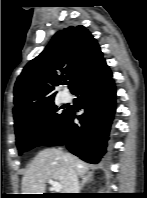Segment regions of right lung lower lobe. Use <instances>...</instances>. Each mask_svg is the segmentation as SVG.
Listing matches in <instances>:
<instances>
[{
	"instance_id": "1",
	"label": "right lung lower lobe",
	"mask_w": 147,
	"mask_h": 198,
	"mask_svg": "<svg viewBox=\"0 0 147 198\" xmlns=\"http://www.w3.org/2000/svg\"><path fill=\"white\" fill-rule=\"evenodd\" d=\"M111 77L104 61L78 85L73 94L79 96L80 108L85 113L75 116V110L71 108L64 125L44 146L66 145L70 152L86 162L96 164L101 160L116 109V90ZM74 118L79 119V124L73 122Z\"/></svg>"
}]
</instances>
